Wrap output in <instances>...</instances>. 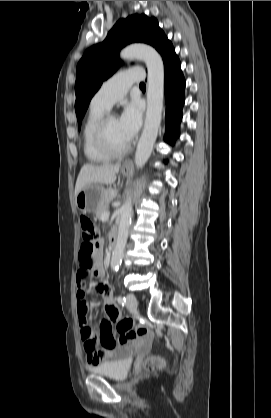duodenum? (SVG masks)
Here are the masks:
<instances>
[{
    "instance_id": "obj_1",
    "label": "duodenum",
    "mask_w": 271,
    "mask_h": 418,
    "mask_svg": "<svg viewBox=\"0 0 271 418\" xmlns=\"http://www.w3.org/2000/svg\"><path fill=\"white\" fill-rule=\"evenodd\" d=\"M117 238H118L117 232L113 231L111 233V237H110V251H112L114 249V247L117 243Z\"/></svg>"
}]
</instances>
